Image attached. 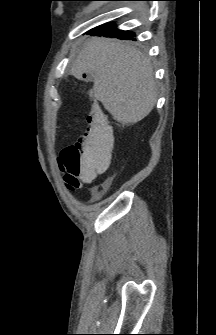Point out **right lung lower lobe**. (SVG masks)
<instances>
[{
	"label": "right lung lower lobe",
	"instance_id": "obj_1",
	"mask_svg": "<svg viewBox=\"0 0 216 335\" xmlns=\"http://www.w3.org/2000/svg\"><path fill=\"white\" fill-rule=\"evenodd\" d=\"M87 33L90 35H99V36L104 35L106 37H115L118 39H125V40L128 39L134 40L133 36H135L133 32L118 30L114 23H107L98 26L96 28L91 29Z\"/></svg>",
	"mask_w": 216,
	"mask_h": 335
}]
</instances>
